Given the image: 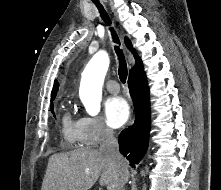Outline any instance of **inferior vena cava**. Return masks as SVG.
<instances>
[{
    "instance_id": "602c4592",
    "label": "inferior vena cava",
    "mask_w": 221,
    "mask_h": 190,
    "mask_svg": "<svg viewBox=\"0 0 221 190\" xmlns=\"http://www.w3.org/2000/svg\"><path fill=\"white\" fill-rule=\"evenodd\" d=\"M99 151L103 153L108 160L116 165L119 175L121 176V183L118 190H125L124 185L127 179L125 178L124 173L127 170L128 165L126 160L119 152L118 141L115 138L113 131L107 127L103 128L101 131Z\"/></svg>"
}]
</instances>
